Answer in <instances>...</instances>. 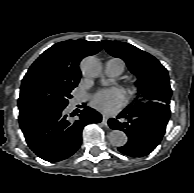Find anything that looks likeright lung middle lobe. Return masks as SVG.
<instances>
[{"instance_id": "obj_1", "label": "right lung middle lobe", "mask_w": 194, "mask_h": 193, "mask_svg": "<svg viewBox=\"0 0 194 193\" xmlns=\"http://www.w3.org/2000/svg\"><path fill=\"white\" fill-rule=\"evenodd\" d=\"M61 80L45 79L35 84L31 96L18 101L19 110L35 108H65L72 98L71 91L76 87Z\"/></svg>"}]
</instances>
